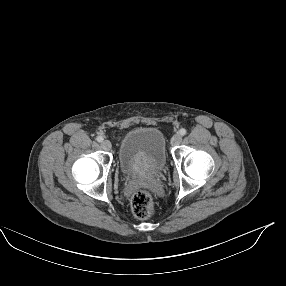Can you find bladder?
I'll list each match as a JSON object with an SVG mask.
<instances>
[{
    "instance_id": "31cf9c89",
    "label": "bladder",
    "mask_w": 286,
    "mask_h": 286,
    "mask_svg": "<svg viewBox=\"0 0 286 286\" xmlns=\"http://www.w3.org/2000/svg\"><path fill=\"white\" fill-rule=\"evenodd\" d=\"M167 161L166 140L157 128L129 130L118 148V165L126 176H154L162 172Z\"/></svg>"
}]
</instances>
